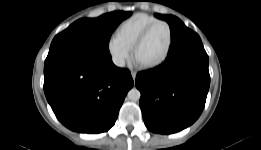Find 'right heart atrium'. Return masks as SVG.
Returning a JSON list of instances; mask_svg holds the SVG:
<instances>
[{"mask_svg": "<svg viewBox=\"0 0 261 150\" xmlns=\"http://www.w3.org/2000/svg\"><path fill=\"white\" fill-rule=\"evenodd\" d=\"M107 51L111 61L117 67H124L131 57V48L119 40L116 36H111L107 41Z\"/></svg>", "mask_w": 261, "mask_h": 150, "instance_id": "d8ad5b80", "label": "right heart atrium"}]
</instances>
